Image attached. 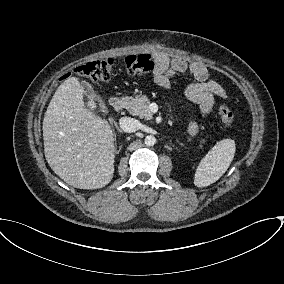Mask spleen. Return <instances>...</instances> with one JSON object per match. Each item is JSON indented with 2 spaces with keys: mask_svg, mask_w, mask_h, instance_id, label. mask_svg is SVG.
<instances>
[{
  "mask_svg": "<svg viewBox=\"0 0 284 284\" xmlns=\"http://www.w3.org/2000/svg\"><path fill=\"white\" fill-rule=\"evenodd\" d=\"M235 148L232 139L217 142L200 161L194 176L195 186L206 187L216 182L230 166Z\"/></svg>",
  "mask_w": 284,
  "mask_h": 284,
  "instance_id": "1",
  "label": "spleen"
}]
</instances>
